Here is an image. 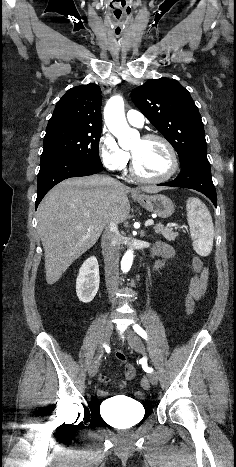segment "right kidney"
<instances>
[{
  "label": "right kidney",
  "instance_id": "ca27d5eb",
  "mask_svg": "<svg viewBox=\"0 0 236 467\" xmlns=\"http://www.w3.org/2000/svg\"><path fill=\"white\" fill-rule=\"evenodd\" d=\"M99 265L96 257L84 261L76 280V293L83 303L91 302L99 289Z\"/></svg>",
  "mask_w": 236,
  "mask_h": 467
}]
</instances>
